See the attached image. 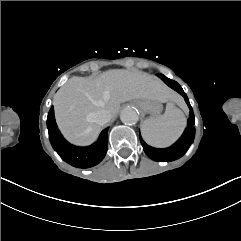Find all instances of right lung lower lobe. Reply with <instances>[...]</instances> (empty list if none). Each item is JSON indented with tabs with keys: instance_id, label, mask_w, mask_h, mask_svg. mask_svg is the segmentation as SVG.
<instances>
[{
	"instance_id": "98d812e1",
	"label": "right lung lower lobe",
	"mask_w": 241,
	"mask_h": 241,
	"mask_svg": "<svg viewBox=\"0 0 241 241\" xmlns=\"http://www.w3.org/2000/svg\"><path fill=\"white\" fill-rule=\"evenodd\" d=\"M47 127L51 144L59 156L68 164L77 168H90L99 164L107 152V132L104 129L99 139L87 147H77L68 143L55 122L54 109L51 107L47 117Z\"/></svg>"
}]
</instances>
